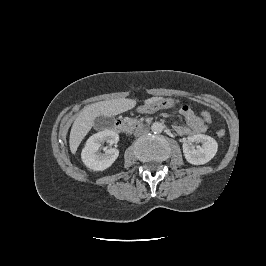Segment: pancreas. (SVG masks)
<instances>
[{
    "label": "pancreas",
    "instance_id": "obj_1",
    "mask_svg": "<svg viewBox=\"0 0 266 266\" xmlns=\"http://www.w3.org/2000/svg\"><path fill=\"white\" fill-rule=\"evenodd\" d=\"M132 122H134V123H137V121H136V120H132Z\"/></svg>",
    "mask_w": 266,
    "mask_h": 266
}]
</instances>
